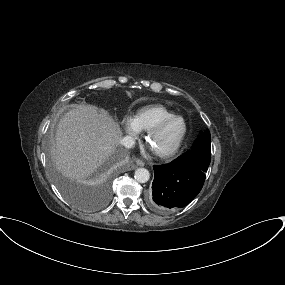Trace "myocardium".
<instances>
[{"label": "myocardium", "instance_id": "myocardium-1", "mask_svg": "<svg viewBox=\"0 0 285 285\" xmlns=\"http://www.w3.org/2000/svg\"><path fill=\"white\" fill-rule=\"evenodd\" d=\"M174 120H181L183 122V131L180 134L179 138L177 139V141L175 142V144L163 151H157V150H153L150 147V141L153 138V136H155L157 133H159L165 126H167L170 122L174 121ZM187 133V123L185 121V119L182 116L179 115H173L167 118L162 119L161 121H159L156 125H154L151 129H149L146 132L145 135V142L147 144V146L150 147L151 151L153 152V154L161 159H168L170 157H172L181 147L183 140L186 136Z\"/></svg>", "mask_w": 285, "mask_h": 285}]
</instances>
